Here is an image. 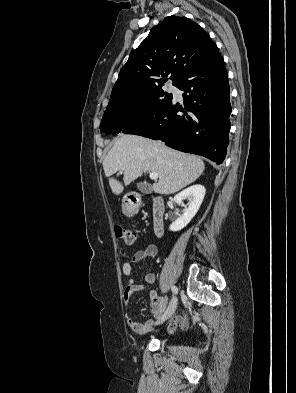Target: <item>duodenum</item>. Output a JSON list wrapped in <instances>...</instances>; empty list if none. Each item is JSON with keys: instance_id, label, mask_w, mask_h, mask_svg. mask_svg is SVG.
<instances>
[{"instance_id": "410a0bca", "label": "duodenum", "mask_w": 296, "mask_h": 393, "mask_svg": "<svg viewBox=\"0 0 296 393\" xmlns=\"http://www.w3.org/2000/svg\"><path fill=\"white\" fill-rule=\"evenodd\" d=\"M126 203L129 209H131L132 212H135L140 205V198L137 194H130L126 197ZM164 212V201L162 197L156 196L153 200L152 206V221L154 232L157 235H161L163 233Z\"/></svg>"}]
</instances>
